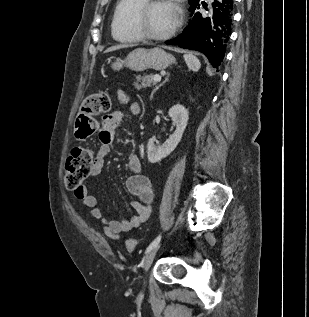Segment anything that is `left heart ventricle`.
Wrapping results in <instances>:
<instances>
[{
    "instance_id": "left-heart-ventricle-1",
    "label": "left heart ventricle",
    "mask_w": 309,
    "mask_h": 317,
    "mask_svg": "<svg viewBox=\"0 0 309 317\" xmlns=\"http://www.w3.org/2000/svg\"><path fill=\"white\" fill-rule=\"evenodd\" d=\"M177 12L170 2H161L153 6L146 15L145 26L153 34L167 33L176 23Z\"/></svg>"
}]
</instances>
